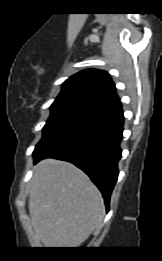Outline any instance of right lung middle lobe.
Here are the masks:
<instances>
[{
    "instance_id": "obj_1",
    "label": "right lung middle lobe",
    "mask_w": 162,
    "mask_h": 261,
    "mask_svg": "<svg viewBox=\"0 0 162 261\" xmlns=\"http://www.w3.org/2000/svg\"><path fill=\"white\" fill-rule=\"evenodd\" d=\"M102 107L104 106L100 101L83 94H60L50 107L51 115L36 148L62 127Z\"/></svg>"
}]
</instances>
